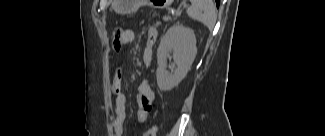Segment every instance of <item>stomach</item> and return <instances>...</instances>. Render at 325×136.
I'll return each mask as SVG.
<instances>
[{"label":"stomach","instance_id":"1","mask_svg":"<svg viewBox=\"0 0 325 136\" xmlns=\"http://www.w3.org/2000/svg\"><path fill=\"white\" fill-rule=\"evenodd\" d=\"M172 0H114L113 8L120 14H130L135 12L143 3H147L155 8H167Z\"/></svg>","mask_w":325,"mask_h":136}]
</instances>
